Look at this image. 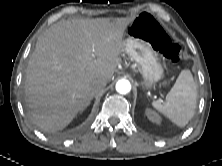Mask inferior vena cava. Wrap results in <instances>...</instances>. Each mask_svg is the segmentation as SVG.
<instances>
[{"mask_svg":"<svg viewBox=\"0 0 222 166\" xmlns=\"http://www.w3.org/2000/svg\"><path fill=\"white\" fill-rule=\"evenodd\" d=\"M106 84H107L106 79H97V80H95L93 85H92L93 94L103 90L105 88Z\"/></svg>","mask_w":222,"mask_h":166,"instance_id":"obj_1","label":"inferior vena cava"}]
</instances>
